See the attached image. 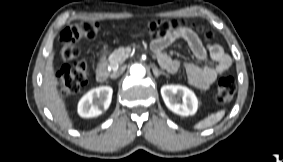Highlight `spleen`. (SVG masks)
<instances>
[{
	"label": "spleen",
	"instance_id": "spleen-1",
	"mask_svg": "<svg viewBox=\"0 0 283 162\" xmlns=\"http://www.w3.org/2000/svg\"><path fill=\"white\" fill-rule=\"evenodd\" d=\"M224 115H225V110H220L216 113H213L209 115L208 117H206L205 119L198 122L197 124H195L194 128L204 129V128L211 127L215 125L216 123H218L223 118Z\"/></svg>",
	"mask_w": 283,
	"mask_h": 162
}]
</instances>
